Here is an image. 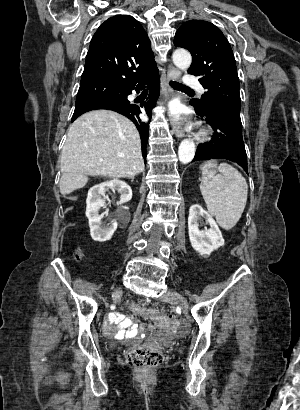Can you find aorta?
Listing matches in <instances>:
<instances>
[{
	"label": "aorta",
	"mask_w": 300,
	"mask_h": 410,
	"mask_svg": "<svg viewBox=\"0 0 300 410\" xmlns=\"http://www.w3.org/2000/svg\"><path fill=\"white\" fill-rule=\"evenodd\" d=\"M173 63L181 70H187L192 61L191 54L184 49H177L172 55ZM195 156V144L190 139H184L178 149V157L181 163L186 164Z\"/></svg>",
	"instance_id": "762f6f07"
}]
</instances>
